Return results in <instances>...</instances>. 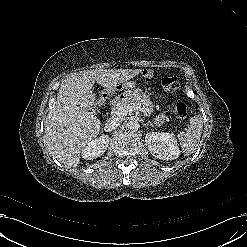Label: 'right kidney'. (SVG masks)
<instances>
[{
    "label": "right kidney",
    "mask_w": 247,
    "mask_h": 247,
    "mask_svg": "<svg viewBox=\"0 0 247 247\" xmlns=\"http://www.w3.org/2000/svg\"><path fill=\"white\" fill-rule=\"evenodd\" d=\"M109 137L102 135L96 139L91 140L87 146L81 149V156L87 160H93L100 157L107 149L109 144Z\"/></svg>",
    "instance_id": "obj_1"
}]
</instances>
